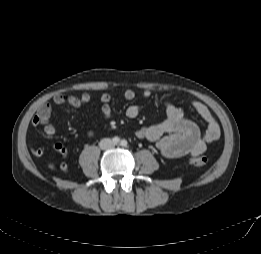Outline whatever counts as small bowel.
<instances>
[{
  "mask_svg": "<svg viewBox=\"0 0 261 254\" xmlns=\"http://www.w3.org/2000/svg\"><path fill=\"white\" fill-rule=\"evenodd\" d=\"M135 96L136 93L132 89H127L124 93V97L127 100H133ZM142 96L146 99L150 98L151 91L145 89L142 92ZM91 100L92 95L90 93H83L80 96L59 94L53 98L52 103L56 105L66 104L73 107H80ZM99 102L104 119L109 120L112 114L110 94H101ZM187 104L206 123L204 134H201L197 124L188 119L181 109L170 101L165 100L166 119L158 124L139 129L136 133L137 137L149 142H154L160 154L166 158L203 154L207 146L220 137V126L204 104L196 100H190ZM51 112L52 105L48 102L41 105L32 118V125L42 126L45 134L49 136L56 133L55 126L50 122ZM140 113L141 107L137 104L128 106L126 110V115L132 119L138 117ZM87 134L92 136L94 135V131H88ZM54 148L62 158L65 159L68 157V151L62 144L56 143ZM31 151L37 157L43 154V149L40 147L31 146ZM61 169L64 172L68 171V167L65 163L61 164Z\"/></svg>",
  "mask_w": 261,
  "mask_h": 254,
  "instance_id": "obj_1",
  "label": "small bowel"
}]
</instances>
